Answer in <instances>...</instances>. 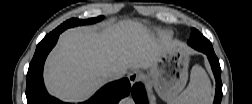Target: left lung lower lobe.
<instances>
[{
  "label": "left lung lower lobe",
  "mask_w": 252,
  "mask_h": 104,
  "mask_svg": "<svg viewBox=\"0 0 252 104\" xmlns=\"http://www.w3.org/2000/svg\"><path fill=\"white\" fill-rule=\"evenodd\" d=\"M197 41L209 43V40H207L202 34L197 35ZM188 44L196 50L202 49V46L199 45V43L195 42L193 39H189ZM203 53H205L208 57V60L210 62L216 80V94L213 104H220L222 99V82H221V68L219 60L214 52L205 51ZM132 97L136 104H148L147 95L144 89V85L142 83L134 84V86L132 87Z\"/></svg>",
  "instance_id": "left-lung-lower-lobe-1"
}]
</instances>
